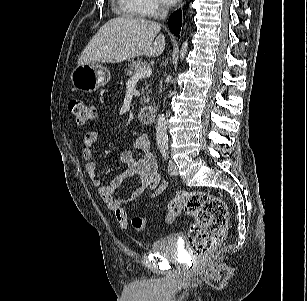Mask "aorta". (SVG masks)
<instances>
[{
    "label": "aorta",
    "instance_id": "obj_1",
    "mask_svg": "<svg viewBox=\"0 0 307 301\" xmlns=\"http://www.w3.org/2000/svg\"><path fill=\"white\" fill-rule=\"evenodd\" d=\"M188 51V41H184L180 49V59L183 60ZM156 143L158 148L168 147V133L166 118L164 114H159L156 122Z\"/></svg>",
    "mask_w": 307,
    "mask_h": 301
}]
</instances>
